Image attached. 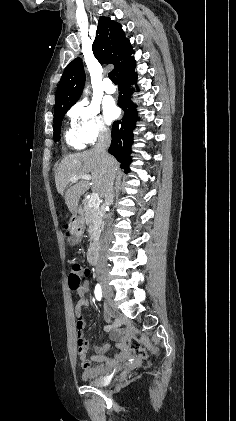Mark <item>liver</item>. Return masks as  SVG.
<instances>
[{
	"label": "liver",
	"instance_id": "obj_1",
	"mask_svg": "<svg viewBox=\"0 0 236 421\" xmlns=\"http://www.w3.org/2000/svg\"><path fill=\"white\" fill-rule=\"evenodd\" d=\"M117 168H119V162L114 156L101 154L95 148L65 156L55 170V182L58 192L65 198L70 213L77 215L79 198L90 186L92 190L98 192L99 196H104ZM89 172L92 176L91 180L79 178L75 184L70 180L71 176L89 174ZM68 184L72 186L66 190Z\"/></svg>",
	"mask_w": 236,
	"mask_h": 421
}]
</instances>
